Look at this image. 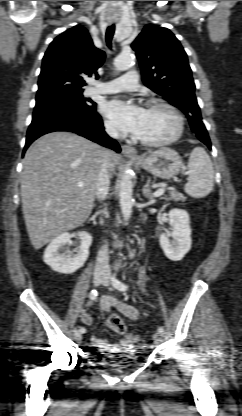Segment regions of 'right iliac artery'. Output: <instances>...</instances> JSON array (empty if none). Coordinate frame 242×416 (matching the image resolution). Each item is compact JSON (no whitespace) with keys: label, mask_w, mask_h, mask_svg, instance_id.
<instances>
[{"label":"right iliac artery","mask_w":242,"mask_h":416,"mask_svg":"<svg viewBox=\"0 0 242 416\" xmlns=\"http://www.w3.org/2000/svg\"><path fill=\"white\" fill-rule=\"evenodd\" d=\"M97 296H98V292L94 289V290H92L91 292H90V294H89V297H90V299L91 300H95L96 298H97ZM79 331L81 332V333H85V328H83V327H81L80 329H79Z\"/></svg>","instance_id":"right-iliac-artery-1"}]
</instances>
